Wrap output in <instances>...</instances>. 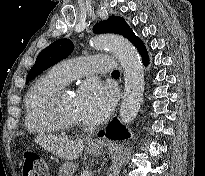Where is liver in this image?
<instances>
[{
	"instance_id": "obj_1",
	"label": "liver",
	"mask_w": 205,
	"mask_h": 176,
	"mask_svg": "<svg viewBox=\"0 0 205 176\" xmlns=\"http://www.w3.org/2000/svg\"><path fill=\"white\" fill-rule=\"evenodd\" d=\"M83 141V139L74 141L52 135H41L35 139V142L43 148L66 160H74L81 155L83 151Z\"/></svg>"
}]
</instances>
